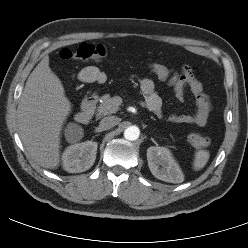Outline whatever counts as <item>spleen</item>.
Instances as JSON below:
<instances>
[{"label": "spleen", "instance_id": "3e777b00", "mask_svg": "<svg viewBox=\"0 0 248 248\" xmlns=\"http://www.w3.org/2000/svg\"><path fill=\"white\" fill-rule=\"evenodd\" d=\"M209 158H210V154L207 150L196 151L194 161H193V169L195 171H199L202 168H204Z\"/></svg>", "mask_w": 248, "mask_h": 248}]
</instances>
